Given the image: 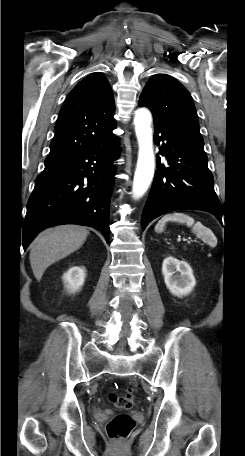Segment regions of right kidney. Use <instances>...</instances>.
<instances>
[{"mask_svg":"<svg viewBox=\"0 0 245 456\" xmlns=\"http://www.w3.org/2000/svg\"><path fill=\"white\" fill-rule=\"evenodd\" d=\"M85 268L84 267H72L63 275V281L65 283V287L71 293H75L84 284L85 281Z\"/></svg>","mask_w":245,"mask_h":456,"instance_id":"obj_1","label":"right kidney"}]
</instances>
